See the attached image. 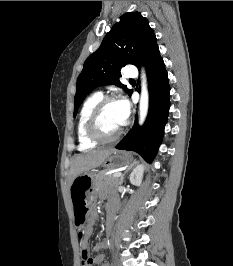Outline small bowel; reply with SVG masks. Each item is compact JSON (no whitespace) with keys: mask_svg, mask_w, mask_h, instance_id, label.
<instances>
[{"mask_svg":"<svg viewBox=\"0 0 233 266\" xmlns=\"http://www.w3.org/2000/svg\"><path fill=\"white\" fill-rule=\"evenodd\" d=\"M110 205H113L115 208L117 207V204L114 201H112ZM96 218H97L96 211L92 210L90 214V222L91 223L95 222ZM113 223H114L113 220L107 221L108 233L112 231ZM91 233H92V229L90 226H88L81 232V236H80L81 253L83 251H89L90 253L92 252V253H97V254L91 258V262L88 265H83V266H93V265L108 266L106 263H104L105 257L100 252L109 246L110 244L109 239L108 238L103 239L99 241L98 243H96L91 249H89V240H90Z\"/></svg>","mask_w":233,"mask_h":266,"instance_id":"c3829d8e","label":"small bowel"}]
</instances>
